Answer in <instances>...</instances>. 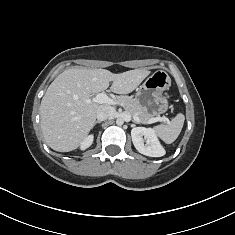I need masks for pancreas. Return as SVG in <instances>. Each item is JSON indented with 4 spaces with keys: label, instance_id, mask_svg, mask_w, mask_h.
<instances>
[{
    "label": "pancreas",
    "instance_id": "1",
    "mask_svg": "<svg viewBox=\"0 0 235 235\" xmlns=\"http://www.w3.org/2000/svg\"><path fill=\"white\" fill-rule=\"evenodd\" d=\"M117 101L129 114L132 116L136 115L143 124L153 118L136 99L130 96H119Z\"/></svg>",
    "mask_w": 235,
    "mask_h": 235
}]
</instances>
